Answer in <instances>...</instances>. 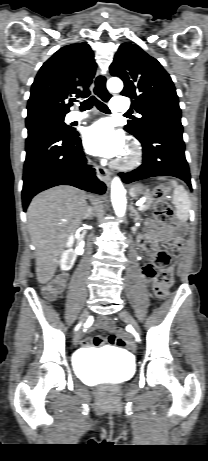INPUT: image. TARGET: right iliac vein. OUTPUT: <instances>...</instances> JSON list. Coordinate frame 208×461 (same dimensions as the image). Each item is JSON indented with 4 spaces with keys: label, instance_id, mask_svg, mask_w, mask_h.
Wrapping results in <instances>:
<instances>
[{
    "label": "right iliac vein",
    "instance_id": "63e3f726",
    "mask_svg": "<svg viewBox=\"0 0 208 461\" xmlns=\"http://www.w3.org/2000/svg\"><path fill=\"white\" fill-rule=\"evenodd\" d=\"M89 317V311L86 309L83 311L81 318H80V323H84ZM81 339V332L78 330L74 336L73 343L74 345H78L79 341Z\"/></svg>",
    "mask_w": 208,
    "mask_h": 461
}]
</instances>
